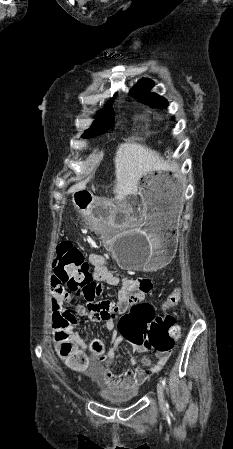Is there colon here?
Masks as SVG:
<instances>
[{"label":"colon","instance_id":"colon-1","mask_svg":"<svg viewBox=\"0 0 233 449\" xmlns=\"http://www.w3.org/2000/svg\"><path fill=\"white\" fill-rule=\"evenodd\" d=\"M57 270L64 277L65 288L68 293L83 297L86 301L95 302L92 292L96 284L91 279L89 264L82 252L71 243L61 241L56 251ZM70 271V273H69ZM184 287L177 285L167 298L162 308L168 311L177 306ZM133 310L127 314H120L117 326L119 337L126 338L127 343H135L136 349H146L159 353H169L176 340L180 337V329L171 315H155V311L143 301L132 303ZM93 312V311H92ZM112 314L111 316L115 315ZM110 314L106 315L109 317ZM76 320L70 311L56 312L53 315L54 337L59 343V355L73 368L84 367L83 357L74 351L69 341L68 328ZM94 350L103 353V346L97 343Z\"/></svg>","mask_w":233,"mask_h":449}]
</instances>
